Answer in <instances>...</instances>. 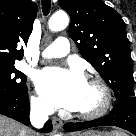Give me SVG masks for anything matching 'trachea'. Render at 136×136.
<instances>
[{
	"mask_svg": "<svg viewBox=\"0 0 136 136\" xmlns=\"http://www.w3.org/2000/svg\"><path fill=\"white\" fill-rule=\"evenodd\" d=\"M51 0H42V10L44 15H47L50 11Z\"/></svg>",
	"mask_w": 136,
	"mask_h": 136,
	"instance_id": "1",
	"label": "trachea"
}]
</instances>
